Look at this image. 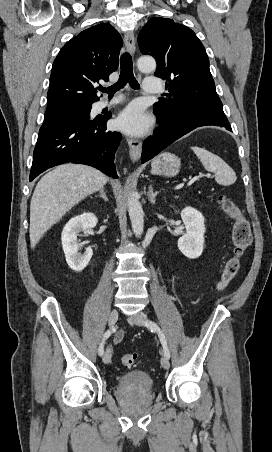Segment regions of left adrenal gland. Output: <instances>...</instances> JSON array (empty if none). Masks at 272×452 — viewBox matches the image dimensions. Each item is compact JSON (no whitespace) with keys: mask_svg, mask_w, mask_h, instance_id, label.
Listing matches in <instances>:
<instances>
[{"mask_svg":"<svg viewBox=\"0 0 272 452\" xmlns=\"http://www.w3.org/2000/svg\"><path fill=\"white\" fill-rule=\"evenodd\" d=\"M159 194V191H153L152 185L149 186L147 196L151 204H155L156 196Z\"/></svg>","mask_w":272,"mask_h":452,"instance_id":"1","label":"left adrenal gland"}]
</instances>
